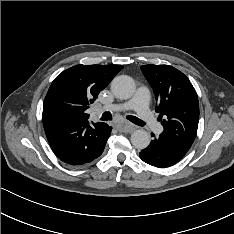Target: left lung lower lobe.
<instances>
[{
  "label": "left lung lower lobe",
  "mask_w": 234,
  "mask_h": 234,
  "mask_svg": "<svg viewBox=\"0 0 234 234\" xmlns=\"http://www.w3.org/2000/svg\"><path fill=\"white\" fill-rule=\"evenodd\" d=\"M187 151L176 144L169 136L161 133L153 139L149 146L143 149L139 156L147 164L165 168L180 161Z\"/></svg>",
  "instance_id": "1"
}]
</instances>
